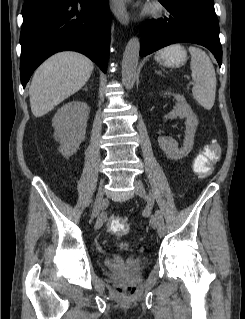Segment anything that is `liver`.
I'll return each instance as SVG.
<instances>
[{"instance_id":"obj_1","label":"liver","mask_w":245,"mask_h":319,"mask_svg":"<svg viewBox=\"0 0 245 319\" xmlns=\"http://www.w3.org/2000/svg\"><path fill=\"white\" fill-rule=\"evenodd\" d=\"M94 65L76 52L58 53L34 73L29 88L31 111L41 117L79 91L90 78Z\"/></svg>"}]
</instances>
